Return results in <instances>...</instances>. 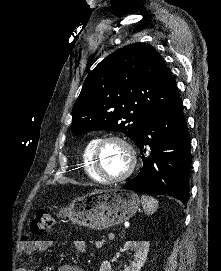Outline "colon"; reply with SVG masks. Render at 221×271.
<instances>
[{
  "instance_id": "5ec220e1",
  "label": "colon",
  "mask_w": 221,
  "mask_h": 271,
  "mask_svg": "<svg viewBox=\"0 0 221 271\" xmlns=\"http://www.w3.org/2000/svg\"><path fill=\"white\" fill-rule=\"evenodd\" d=\"M55 228V216L46 209H41L37 212L36 218L31 222L30 234H44Z\"/></svg>"
}]
</instances>
